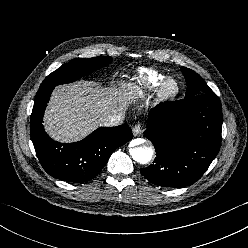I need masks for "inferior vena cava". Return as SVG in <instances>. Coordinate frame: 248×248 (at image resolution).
I'll return each instance as SVG.
<instances>
[{
    "label": "inferior vena cava",
    "mask_w": 248,
    "mask_h": 248,
    "mask_svg": "<svg viewBox=\"0 0 248 248\" xmlns=\"http://www.w3.org/2000/svg\"><path fill=\"white\" fill-rule=\"evenodd\" d=\"M123 113H116L112 115H108L103 119L104 126H117L120 125L124 120Z\"/></svg>",
    "instance_id": "inferior-vena-cava-1"
}]
</instances>
